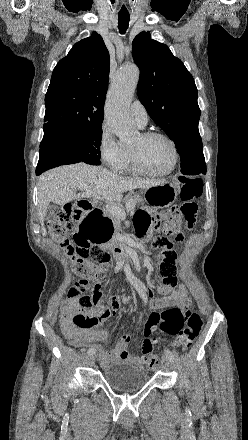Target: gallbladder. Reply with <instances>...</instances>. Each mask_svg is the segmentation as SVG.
I'll return each mask as SVG.
<instances>
[{"mask_svg":"<svg viewBox=\"0 0 248 440\" xmlns=\"http://www.w3.org/2000/svg\"><path fill=\"white\" fill-rule=\"evenodd\" d=\"M57 210V206L56 205H49L46 215H45V219L49 220L50 218L53 217V215L55 214V211Z\"/></svg>","mask_w":248,"mask_h":440,"instance_id":"obj_1","label":"gallbladder"}]
</instances>
